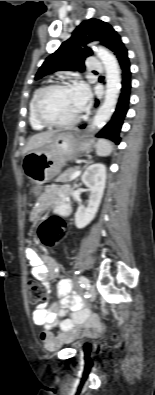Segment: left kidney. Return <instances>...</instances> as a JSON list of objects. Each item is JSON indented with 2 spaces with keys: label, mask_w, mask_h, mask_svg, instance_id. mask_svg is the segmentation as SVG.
Returning a JSON list of instances; mask_svg holds the SVG:
<instances>
[{
  "label": "left kidney",
  "mask_w": 155,
  "mask_h": 395,
  "mask_svg": "<svg viewBox=\"0 0 155 395\" xmlns=\"http://www.w3.org/2000/svg\"><path fill=\"white\" fill-rule=\"evenodd\" d=\"M82 182L90 189L91 194L88 206H79L75 213V225L82 229L86 227L95 217L106 185V166L95 163L89 166L82 175Z\"/></svg>",
  "instance_id": "5707ae66"
}]
</instances>
